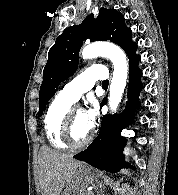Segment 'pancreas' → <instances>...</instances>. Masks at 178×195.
I'll list each match as a JSON object with an SVG mask.
<instances>
[{"instance_id":"pancreas-1","label":"pancreas","mask_w":178,"mask_h":195,"mask_svg":"<svg viewBox=\"0 0 178 195\" xmlns=\"http://www.w3.org/2000/svg\"><path fill=\"white\" fill-rule=\"evenodd\" d=\"M84 195H91L89 192H86Z\"/></svg>"}]
</instances>
